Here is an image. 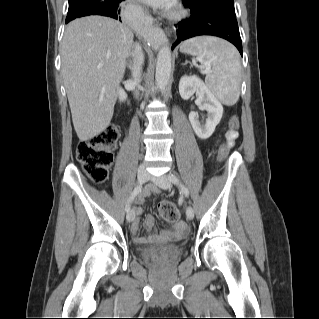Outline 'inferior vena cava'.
<instances>
[{
    "instance_id": "inferior-vena-cava-1",
    "label": "inferior vena cava",
    "mask_w": 319,
    "mask_h": 319,
    "mask_svg": "<svg viewBox=\"0 0 319 319\" xmlns=\"http://www.w3.org/2000/svg\"><path fill=\"white\" fill-rule=\"evenodd\" d=\"M131 55L133 57L132 63V79H133V85L136 86L141 81V71H142V65L144 63V54L142 51L141 46L138 43H135L132 45V52ZM136 97L138 96V92L135 91ZM142 167V166H141Z\"/></svg>"
}]
</instances>
